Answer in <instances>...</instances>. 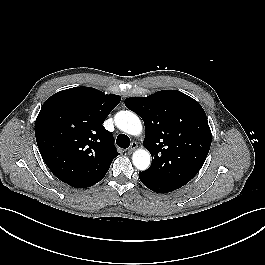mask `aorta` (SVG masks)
<instances>
[{"label":"aorta","instance_id":"aorta-1","mask_svg":"<svg viewBox=\"0 0 265 265\" xmlns=\"http://www.w3.org/2000/svg\"><path fill=\"white\" fill-rule=\"evenodd\" d=\"M116 126L123 132L137 136L142 132V123L138 116L131 111H120L115 117ZM132 161L139 170H146L150 166V153L145 149L136 150Z\"/></svg>","mask_w":265,"mask_h":265}]
</instances>
